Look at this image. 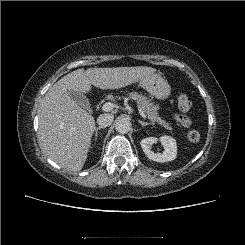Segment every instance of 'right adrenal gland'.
I'll use <instances>...</instances> for the list:
<instances>
[{
	"instance_id": "2a0ac1e0",
	"label": "right adrenal gland",
	"mask_w": 245,
	"mask_h": 245,
	"mask_svg": "<svg viewBox=\"0 0 245 245\" xmlns=\"http://www.w3.org/2000/svg\"><path fill=\"white\" fill-rule=\"evenodd\" d=\"M101 129H104V127H97V128H95V134H94V141L96 142V140H97V132H98V130H101Z\"/></svg>"
}]
</instances>
